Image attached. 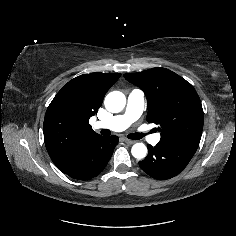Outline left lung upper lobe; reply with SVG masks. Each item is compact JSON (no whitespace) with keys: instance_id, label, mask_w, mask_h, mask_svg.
I'll return each instance as SVG.
<instances>
[{"instance_id":"1","label":"left lung upper lobe","mask_w":236,"mask_h":236,"mask_svg":"<svg viewBox=\"0 0 236 236\" xmlns=\"http://www.w3.org/2000/svg\"><path fill=\"white\" fill-rule=\"evenodd\" d=\"M147 97V121L159 125L160 142H200L204 115L193 86L165 68L126 73Z\"/></svg>"}]
</instances>
